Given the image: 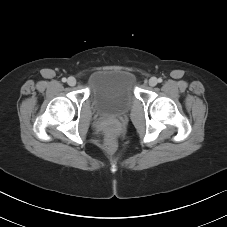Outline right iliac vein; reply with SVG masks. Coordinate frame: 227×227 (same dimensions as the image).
I'll list each match as a JSON object with an SVG mask.
<instances>
[{
    "label": "right iliac vein",
    "mask_w": 227,
    "mask_h": 227,
    "mask_svg": "<svg viewBox=\"0 0 227 227\" xmlns=\"http://www.w3.org/2000/svg\"><path fill=\"white\" fill-rule=\"evenodd\" d=\"M68 85L75 86L76 85V79L74 77H69L67 80Z\"/></svg>",
    "instance_id": "obj_1"
}]
</instances>
